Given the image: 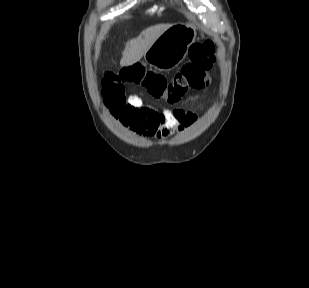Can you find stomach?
I'll return each instance as SVG.
<instances>
[{"label": "stomach", "instance_id": "1", "mask_svg": "<svg viewBox=\"0 0 309 288\" xmlns=\"http://www.w3.org/2000/svg\"><path fill=\"white\" fill-rule=\"evenodd\" d=\"M195 38V28L183 23L174 24L155 40L144 59L157 70H171L183 61Z\"/></svg>", "mask_w": 309, "mask_h": 288}]
</instances>
